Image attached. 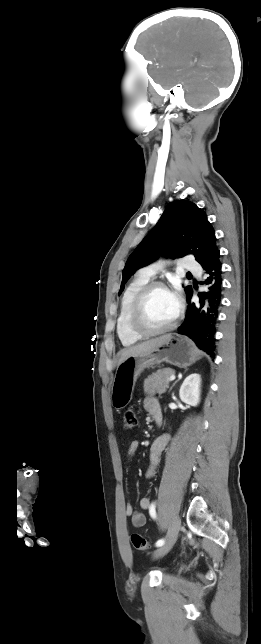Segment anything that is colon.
Instances as JSON below:
<instances>
[{
  "label": "colon",
  "mask_w": 261,
  "mask_h": 644,
  "mask_svg": "<svg viewBox=\"0 0 261 644\" xmlns=\"http://www.w3.org/2000/svg\"><path fill=\"white\" fill-rule=\"evenodd\" d=\"M137 426V414L134 409H128L123 416V427L126 430H133ZM133 546L137 550H146L149 547V541L140 534L131 536Z\"/></svg>",
  "instance_id": "colon-1"
}]
</instances>
